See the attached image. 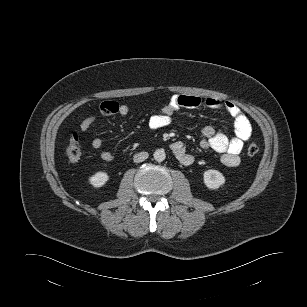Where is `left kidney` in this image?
Returning <instances> with one entry per match:
<instances>
[{"instance_id":"5707ae66","label":"left kidney","mask_w":307,"mask_h":307,"mask_svg":"<svg viewBox=\"0 0 307 307\" xmlns=\"http://www.w3.org/2000/svg\"><path fill=\"white\" fill-rule=\"evenodd\" d=\"M205 185L209 189H218L225 183V177L217 170H207L203 174Z\"/></svg>"}]
</instances>
